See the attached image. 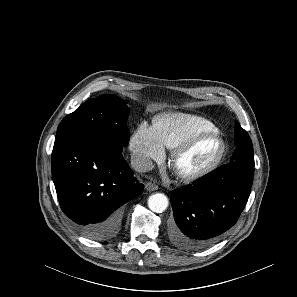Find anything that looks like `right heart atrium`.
<instances>
[{
    "instance_id": "obj_1",
    "label": "right heart atrium",
    "mask_w": 297,
    "mask_h": 297,
    "mask_svg": "<svg viewBox=\"0 0 297 297\" xmlns=\"http://www.w3.org/2000/svg\"><path fill=\"white\" fill-rule=\"evenodd\" d=\"M130 150L135 167L145 171L152 167L153 162L164 157V148L158 140L152 126L141 123L130 141Z\"/></svg>"
}]
</instances>
